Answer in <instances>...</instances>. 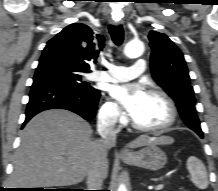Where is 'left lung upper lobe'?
<instances>
[{
  "label": "left lung upper lobe",
  "mask_w": 218,
  "mask_h": 191,
  "mask_svg": "<svg viewBox=\"0 0 218 191\" xmlns=\"http://www.w3.org/2000/svg\"><path fill=\"white\" fill-rule=\"evenodd\" d=\"M148 38L152 49L150 60L154 80L176 102L185 124L199 136H203L196 115L194 91L182 52L163 33L150 31Z\"/></svg>",
  "instance_id": "left-lung-upper-lobe-1"
}]
</instances>
